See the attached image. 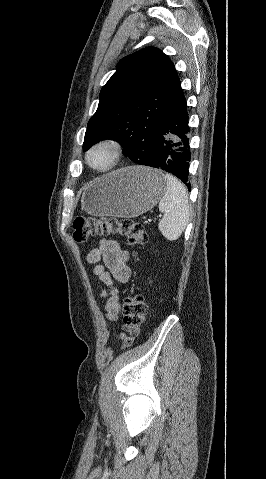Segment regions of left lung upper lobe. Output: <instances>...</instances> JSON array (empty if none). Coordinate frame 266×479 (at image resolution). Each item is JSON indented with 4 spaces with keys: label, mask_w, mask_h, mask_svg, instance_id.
Returning a JSON list of instances; mask_svg holds the SVG:
<instances>
[{
    "label": "left lung upper lobe",
    "mask_w": 266,
    "mask_h": 479,
    "mask_svg": "<svg viewBox=\"0 0 266 479\" xmlns=\"http://www.w3.org/2000/svg\"><path fill=\"white\" fill-rule=\"evenodd\" d=\"M180 89L172 61L158 48L126 56L101 89L83 150L110 139L119 142L132 161L149 162L161 121Z\"/></svg>",
    "instance_id": "1"
}]
</instances>
